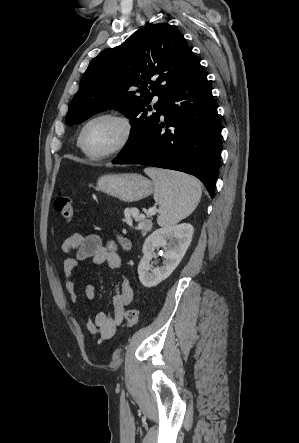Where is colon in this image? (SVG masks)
I'll list each match as a JSON object with an SVG mask.
<instances>
[{
	"label": "colon",
	"mask_w": 299,
	"mask_h": 443,
	"mask_svg": "<svg viewBox=\"0 0 299 443\" xmlns=\"http://www.w3.org/2000/svg\"><path fill=\"white\" fill-rule=\"evenodd\" d=\"M54 209L66 221L70 222L74 216V209L70 198L67 195L60 194L54 202ZM126 323L129 327H134L138 324L140 314L138 309L131 308L125 314Z\"/></svg>",
	"instance_id": "colon-1"
}]
</instances>
